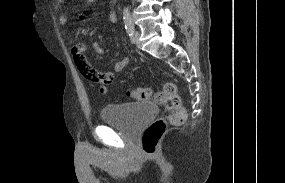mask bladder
<instances>
[{"label":"bladder","mask_w":285,"mask_h":183,"mask_svg":"<svg viewBox=\"0 0 285 183\" xmlns=\"http://www.w3.org/2000/svg\"><path fill=\"white\" fill-rule=\"evenodd\" d=\"M158 109L150 102L106 105L101 109V120L117 125L129 134H136L156 116Z\"/></svg>","instance_id":"obj_1"}]
</instances>
